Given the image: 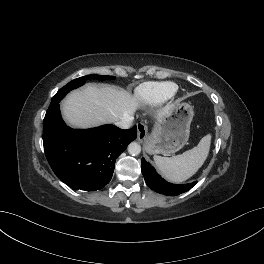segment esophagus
Masks as SVG:
<instances>
[{"instance_id": "34e87169", "label": "esophagus", "mask_w": 264, "mask_h": 264, "mask_svg": "<svg viewBox=\"0 0 264 264\" xmlns=\"http://www.w3.org/2000/svg\"><path fill=\"white\" fill-rule=\"evenodd\" d=\"M148 135L147 125L143 122L137 124V138L139 142H144Z\"/></svg>"}]
</instances>
